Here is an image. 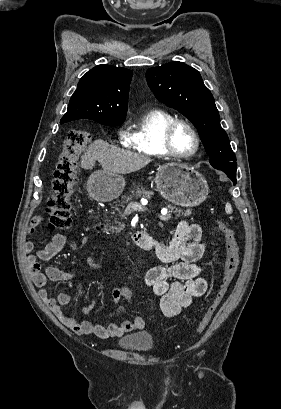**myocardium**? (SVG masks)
Masks as SVG:
<instances>
[{
  "label": "myocardium",
  "instance_id": "1",
  "mask_svg": "<svg viewBox=\"0 0 281 409\" xmlns=\"http://www.w3.org/2000/svg\"><path fill=\"white\" fill-rule=\"evenodd\" d=\"M180 127L186 128L191 133L194 140V149L192 152L188 154H182L178 152L174 144L175 134ZM199 146H200L199 135L195 128L193 127V125L189 123L187 120L175 119L167 126L164 134V147L170 156L177 159L191 158L197 153Z\"/></svg>",
  "mask_w": 281,
  "mask_h": 409
}]
</instances>
